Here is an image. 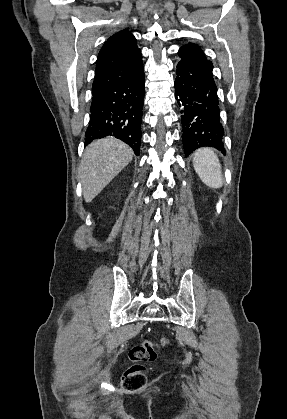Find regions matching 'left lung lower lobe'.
<instances>
[{
    "label": "left lung lower lobe",
    "instance_id": "left-lung-lower-lobe-1",
    "mask_svg": "<svg viewBox=\"0 0 287 419\" xmlns=\"http://www.w3.org/2000/svg\"><path fill=\"white\" fill-rule=\"evenodd\" d=\"M213 65L181 59L175 80L176 99L181 107L185 155L211 146L225 154L224 129L220 122Z\"/></svg>",
    "mask_w": 287,
    "mask_h": 419
}]
</instances>
